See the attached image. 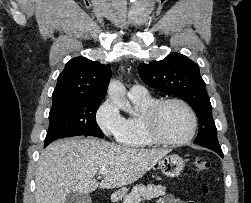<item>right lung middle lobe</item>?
<instances>
[{"label": "right lung middle lobe", "mask_w": 251, "mask_h": 203, "mask_svg": "<svg viewBox=\"0 0 251 203\" xmlns=\"http://www.w3.org/2000/svg\"><path fill=\"white\" fill-rule=\"evenodd\" d=\"M100 103L101 100H77L52 107L45 147L61 137H103L104 134L96 122V111Z\"/></svg>", "instance_id": "obj_1"}]
</instances>
